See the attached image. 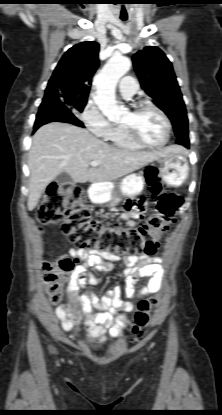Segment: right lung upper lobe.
I'll list each match as a JSON object with an SVG mask.
<instances>
[{"instance_id":"obj_1","label":"right lung upper lobe","mask_w":222,"mask_h":415,"mask_svg":"<svg viewBox=\"0 0 222 415\" xmlns=\"http://www.w3.org/2000/svg\"><path fill=\"white\" fill-rule=\"evenodd\" d=\"M99 44L83 42L71 47L61 58L55 68L44 99L73 96L87 98L92 77L99 66Z\"/></svg>"}]
</instances>
